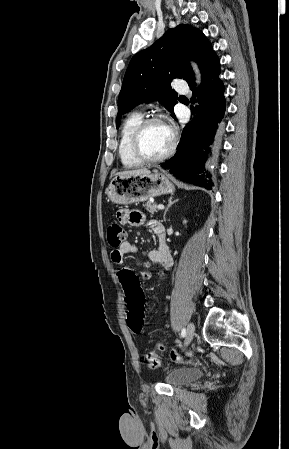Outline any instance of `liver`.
<instances>
[{
  "instance_id": "1",
  "label": "liver",
  "mask_w": 289,
  "mask_h": 449,
  "mask_svg": "<svg viewBox=\"0 0 289 449\" xmlns=\"http://www.w3.org/2000/svg\"><path fill=\"white\" fill-rule=\"evenodd\" d=\"M150 170L146 168L141 169H135V170H129V171H123L117 173V175L124 176V175H142V174H149Z\"/></svg>"
}]
</instances>
